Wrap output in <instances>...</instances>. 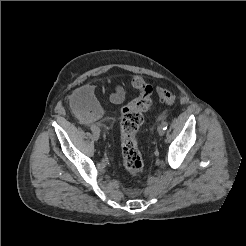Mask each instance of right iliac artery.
Returning <instances> with one entry per match:
<instances>
[{
	"label": "right iliac artery",
	"instance_id": "obj_1",
	"mask_svg": "<svg viewBox=\"0 0 246 246\" xmlns=\"http://www.w3.org/2000/svg\"><path fill=\"white\" fill-rule=\"evenodd\" d=\"M91 130H92L93 132H96V131H99V128H98L97 126H95V125H92V126H91Z\"/></svg>",
	"mask_w": 246,
	"mask_h": 246
}]
</instances>
